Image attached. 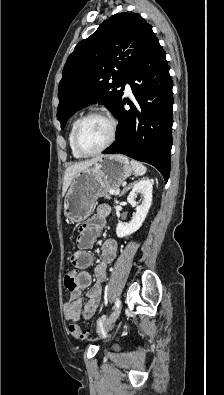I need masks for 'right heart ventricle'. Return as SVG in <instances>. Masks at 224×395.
<instances>
[{
    "label": "right heart ventricle",
    "instance_id": "obj_1",
    "mask_svg": "<svg viewBox=\"0 0 224 395\" xmlns=\"http://www.w3.org/2000/svg\"><path fill=\"white\" fill-rule=\"evenodd\" d=\"M77 120L73 121V123L70 126L69 134H68V144L69 148L71 150L72 156L76 159L81 158V156L75 151L74 146H73V134H74V129L76 125Z\"/></svg>",
    "mask_w": 224,
    "mask_h": 395
}]
</instances>
